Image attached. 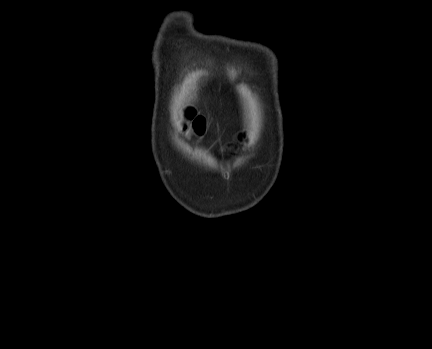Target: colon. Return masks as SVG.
I'll use <instances>...</instances> for the list:
<instances>
[{
  "label": "colon",
  "instance_id": "obj_1",
  "mask_svg": "<svg viewBox=\"0 0 432 349\" xmlns=\"http://www.w3.org/2000/svg\"><path fill=\"white\" fill-rule=\"evenodd\" d=\"M193 125L197 131H202L203 129V120L201 117H196L193 120Z\"/></svg>",
  "mask_w": 432,
  "mask_h": 349
}]
</instances>
